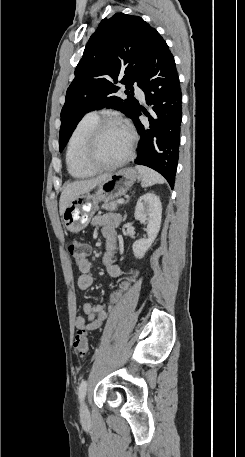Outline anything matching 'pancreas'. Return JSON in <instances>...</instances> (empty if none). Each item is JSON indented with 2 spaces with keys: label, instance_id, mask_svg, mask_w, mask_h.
I'll return each mask as SVG.
<instances>
[{
  "label": "pancreas",
  "instance_id": "1",
  "mask_svg": "<svg viewBox=\"0 0 245 457\" xmlns=\"http://www.w3.org/2000/svg\"><path fill=\"white\" fill-rule=\"evenodd\" d=\"M118 204H122V202H118V200H111V202H104L101 206L102 208H105V210H117Z\"/></svg>",
  "mask_w": 245,
  "mask_h": 457
}]
</instances>
